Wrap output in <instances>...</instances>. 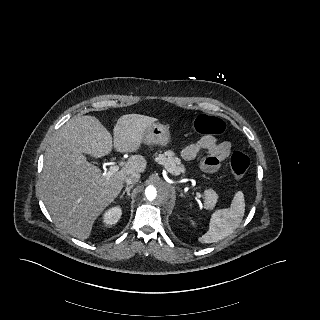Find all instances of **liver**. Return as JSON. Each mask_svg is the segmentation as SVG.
Segmentation results:
<instances>
[{
  "label": "liver",
  "mask_w": 320,
  "mask_h": 320,
  "mask_svg": "<svg viewBox=\"0 0 320 320\" xmlns=\"http://www.w3.org/2000/svg\"><path fill=\"white\" fill-rule=\"evenodd\" d=\"M156 118L126 114L114 126V139L101 122L90 115L66 122L46 150L42 173V199L55 224L70 235L84 240L91 235L97 217L124 187L125 178L143 173L146 159L132 155L110 176L86 160L83 153L101 158L111 153L137 151L143 132Z\"/></svg>",
  "instance_id": "6515ba94"
}]
</instances>
